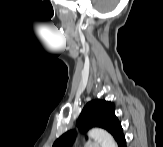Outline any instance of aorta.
<instances>
[{
	"label": "aorta",
	"instance_id": "1",
	"mask_svg": "<svg viewBox=\"0 0 163 147\" xmlns=\"http://www.w3.org/2000/svg\"><path fill=\"white\" fill-rule=\"evenodd\" d=\"M89 137L100 143L101 147H117L114 138L101 128H93L88 133Z\"/></svg>",
	"mask_w": 163,
	"mask_h": 147
}]
</instances>
